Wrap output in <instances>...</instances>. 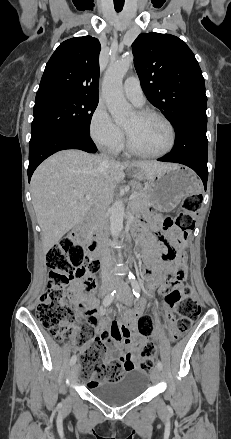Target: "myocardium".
<instances>
[{"label": "myocardium", "mask_w": 231, "mask_h": 439, "mask_svg": "<svg viewBox=\"0 0 231 439\" xmlns=\"http://www.w3.org/2000/svg\"><path fill=\"white\" fill-rule=\"evenodd\" d=\"M136 113L140 117L154 116V117H157L160 120H162L166 124L168 129H169V132H170V142H169L168 146L164 150H162L160 152L145 153V152H142V151L138 150L136 147H134V145L132 144V142L130 140L128 132L124 129V132H125V144H126L127 150L131 154H133V155H135L137 157L147 158V159L160 158V157H163V156L167 155L168 153H170L173 150V148L175 147V144H176V130H175V127H174L173 123L171 122V120L166 115H164L163 113H161V112H159L157 110H153V109H141V110H138Z\"/></svg>", "instance_id": "f54148a6"}]
</instances>
